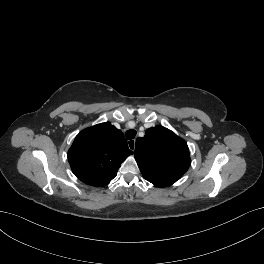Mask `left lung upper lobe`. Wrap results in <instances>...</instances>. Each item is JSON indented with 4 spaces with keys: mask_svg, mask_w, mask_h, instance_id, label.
Instances as JSON below:
<instances>
[{
    "mask_svg": "<svg viewBox=\"0 0 264 264\" xmlns=\"http://www.w3.org/2000/svg\"><path fill=\"white\" fill-rule=\"evenodd\" d=\"M135 159L143 177L176 182L188 170L191 160L187 143L171 130L157 125L147 129L135 144Z\"/></svg>",
    "mask_w": 264,
    "mask_h": 264,
    "instance_id": "5c2ea615",
    "label": "left lung upper lobe"
}]
</instances>
